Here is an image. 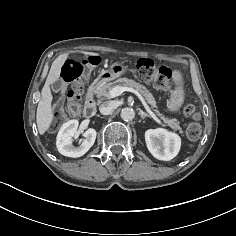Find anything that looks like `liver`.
Returning a JSON list of instances; mask_svg holds the SVG:
<instances>
[{"mask_svg":"<svg viewBox=\"0 0 236 236\" xmlns=\"http://www.w3.org/2000/svg\"><path fill=\"white\" fill-rule=\"evenodd\" d=\"M80 53L89 56L99 55L98 53L85 52V51H82ZM68 56H69L68 53H64L59 55L54 60V62L51 65L49 74L47 76L45 85L42 88L41 99L38 103L37 113H36L37 127L41 135L48 130L54 118L53 109L51 105L53 96L50 91V85L54 83L56 80H58V78L60 77L61 67L68 59Z\"/></svg>","mask_w":236,"mask_h":236,"instance_id":"obj_1","label":"liver"}]
</instances>
